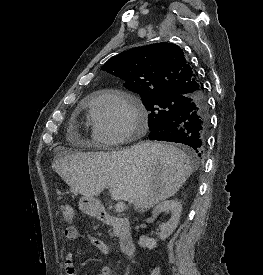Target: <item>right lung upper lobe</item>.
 Segmentation results:
<instances>
[{
    "instance_id": "1",
    "label": "right lung upper lobe",
    "mask_w": 263,
    "mask_h": 275,
    "mask_svg": "<svg viewBox=\"0 0 263 275\" xmlns=\"http://www.w3.org/2000/svg\"><path fill=\"white\" fill-rule=\"evenodd\" d=\"M141 96L192 97L203 91L196 74L173 43L136 47L109 59L102 67Z\"/></svg>"
}]
</instances>
